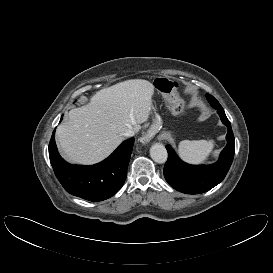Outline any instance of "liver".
Returning <instances> with one entry per match:
<instances>
[{
	"mask_svg": "<svg viewBox=\"0 0 273 273\" xmlns=\"http://www.w3.org/2000/svg\"><path fill=\"white\" fill-rule=\"evenodd\" d=\"M154 85L133 79L101 89L90 103L71 109L57 127L63 156L72 163L94 164L109 156L128 129L139 131L152 110Z\"/></svg>",
	"mask_w": 273,
	"mask_h": 273,
	"instance_id": "6515ba94",
	"label": "liver"
}]
</instances>
